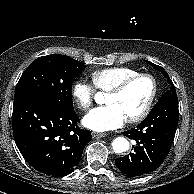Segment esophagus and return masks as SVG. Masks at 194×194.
I'll list each match as a JSON object with an SVG mask.
<instances>
[{
    "label": "esophagus",
    "mask_w": 194,
    "mask_h": 194,
    "mask_svg": "<svg viewBox=\"0 0 194 194\" xmlns=\"http://www.w3.org/2000/svg\"><path fill=\"white\" fill-rule=\"evenodd\" d=\"M106 135H107L106 133H98V132L92 133L93 138H102V137H105Z\"/></svg>",
    "instance_id": "1"
}]
</instances>
